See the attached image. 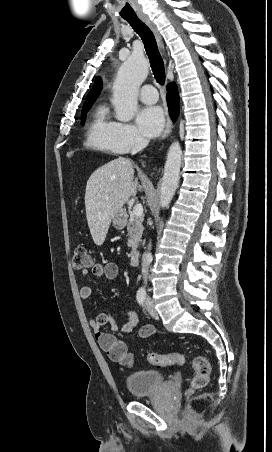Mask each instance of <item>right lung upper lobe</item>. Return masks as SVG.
I'll list each match as a JSON object with an SVG mask.
<instances>
[{"label":"right lung upper lobe","mask_w":272,"mask_h":452,"mask_svg":"<svg viewBox=\"0 0 272 452\" xmlns=\"http://www.w3.org/2000/svg\"><path fill=\"white\" fill-rule=\"evenodd\" d=\"M101 89H102V82H101V79L99 77H97L92 89L90 90L88 96L85 99L84 104L94 103V101L98 97Z\"/></svg>","instance_id":"obj_1"}]
</instances>
